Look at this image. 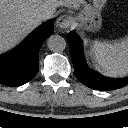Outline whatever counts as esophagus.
<instances>
[{"instance_id":"esophagus-1","label":"esophagus","mask_w":128,"mask_h":128,"mask_svg":"<svg viewBox=\"0 0 128 128\" xmlns=\"http://www.w3.org/2000/svg\"><path fill=\"white\" fill-rule=\"evenodd\" d=\"M72 25V17L68 14L60 15L56 20V27L60 29H67Z\"/></svg>"}]
</instances>
